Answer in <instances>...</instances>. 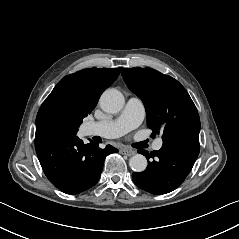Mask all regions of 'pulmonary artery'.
Listing matches in <instances>:
<instances>
[{
	"mask_svg": "<svg viewBox=\"0 0 239 239\" xmlns=\"http://www.w3.org/2000/svg\"><path fill=\"white\" fill-rule=\"evenodd\" d=\"M145 109L142 100L137 96H130L121 114L116 119L92 121L85 124V135L92 136L105 132L110 138H118L137 128L143 121ZM162 140L154 144L155 150H160Z\"/></svg>",
	"mask_w": 239,
	"mask_h": 239,
	"instance_id": "obj_1",
	"label": "pulmonary artery"
}]
</instances>
